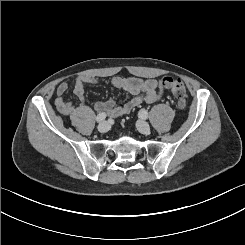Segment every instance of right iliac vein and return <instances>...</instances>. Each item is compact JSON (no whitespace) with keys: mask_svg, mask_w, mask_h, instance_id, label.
I'll use <instances>...</instances> for the list:
<instances>
[{"mask_svg":"<svg viewBox=\"0 0 245 245\" xmlns=\"http://www.w3.org/2000/svg\"><path fill=\"white\" fill-rule=\"evenodd\" d=\"M109 129H110V125H109V123L106 122V121H104V122H102V123H100V124L98 125V130H99V132H101V133H106V132L109 131Z\"/></svg>","mask_w":245,"mask_h":245,"instance_id":"obj_1","label":"right iliac vein"}]
</instances>
